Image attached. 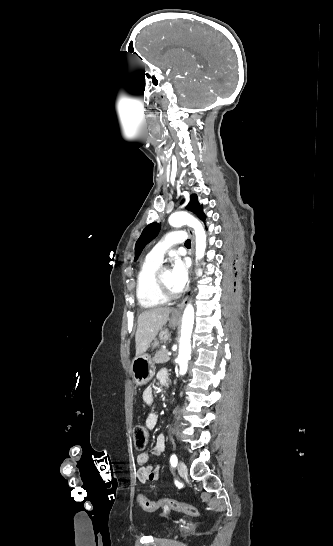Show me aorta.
I'll use <instances>...</instances> for the list:
<instances>
[{"instance_id":"1","label":"aorta","mask_w":333,"mask_h":546,"mask_svg":"<svg viewBox=\"0 0 333 546\" xmlns=\"http://www.w3.org/2000/svg\"><path fill=\"white\" fill-rule=\"evenodd\" d=\"M169 224L172 227H181L185 224L195 230L196 236V260L203 258L206 249V233L198 219L186 212H176L170 215ZM194 325V308L188 304L182 317V331L178 354L180 375H185L188 370V362L191 358V334Z\"/></svg>"}]
</instances>
